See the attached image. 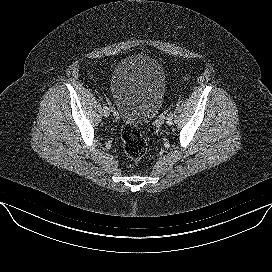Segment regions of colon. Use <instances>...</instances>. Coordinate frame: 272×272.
Returning a JSON list of instances; mask_svg holds the SVG:
<instances>
[{"instance_id": "5ec220e1", "label": "colon", "mask_w": 272, "mask_h": 272, "mask_svg": "<svg viewBox=\"0 0 272 272\" xmlns=\"http://www.w3.org/2000/svg\"><path fill=\"white\" fill-rule=\"evenodd\" d=\"M121 137L125 154L138 165L148 149L146 140L142 137L137 126L131 123L124 124Z\"/></svg>"}]
</instances>
